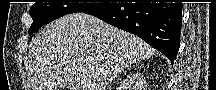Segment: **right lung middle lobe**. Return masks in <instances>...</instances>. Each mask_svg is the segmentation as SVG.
I'll return each mask as SVG.
<instances>
[{"label": "right lung middle lobe", "mask_w": 216, "mask_h": 90, "mask_svg": "<svg viewBox=\"0 0 216 90\" xmlns=\"http://www.w3.org/2000/svg\"><path fill=\"white\" fill-rule=\"evenodd\" d=\"M106 4L107 3H35L30 8V15L33 19V23L29 29V35H32L43 25L64 15L76 12L85 13Z\"/></svg>", "instance_id": "right-lung-middle-lobe-1"}]
</instances>
